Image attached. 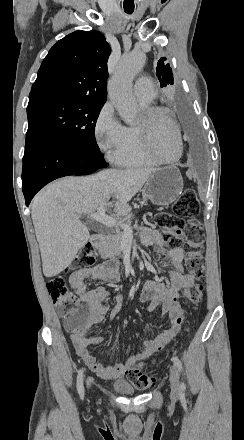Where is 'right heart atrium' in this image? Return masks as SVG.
<instances>
[{"label": "right heart atrium", "instance_id": "1", "mask_svg": "<svg viewBox=\"0 0 244 440\" xmlns=\"http://www.w3.org/2000/svg\"><path fill=\"white\" fill-rule=\"evenodd\" d=\"M94 135L100 149L112 159L113 151H129L134 142L127 137V127L116 115L113 103L107 102L100 110L94 125Z\"/></svg>", "mask_w": 244, "mask_h": 440}]
</instances>
